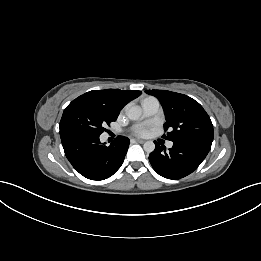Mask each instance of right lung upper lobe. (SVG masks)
<instances>
[{
  "mask_svg": "<svg viewBox=\"0 0 261 261\" xmlns=\"http://www.w3.org/2000/svg\"><path fill=\"white\" fill-rule=\"evenodd\" d=\"M141 94L138 90H92L79 97L92 99L118 117L122 108Z\"/></svg>",
  "mask_w": 261,
  "mask_h": 261,
  "instance_id": "obj_1",
  "label": "right lung upper lobe"
}]
</instances>
